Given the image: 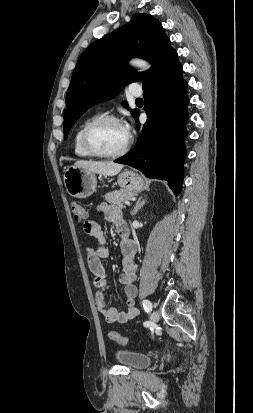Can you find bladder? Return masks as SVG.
<instances>
[{"label":"bladder","instance_id":"1","mask_svg":"<svg viewBox=\"0 0 253 413\" xmlns=\"http://www.w3.org/2000/svg\"><path fill=\"white\" fill-rule=\"evenodd\" d=\"M115 359L122 365L131 369H143L148 367L152 358L142 352L119 349L115 351Z\"/></svg>","mask_w":253,"mask_h":413}]
</instances>
